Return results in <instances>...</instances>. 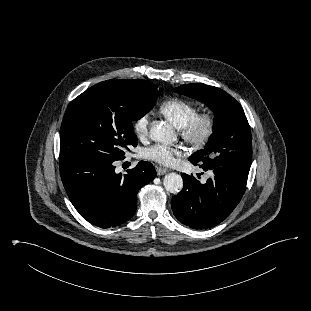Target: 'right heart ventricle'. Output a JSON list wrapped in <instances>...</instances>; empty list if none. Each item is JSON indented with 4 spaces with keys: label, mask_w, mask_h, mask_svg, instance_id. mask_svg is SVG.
I'll list each match as a JSON object with an SVG mask.
<instances>
[{
    "label": "right heart ventricle",
    "mask_w": 311,
    "mask_h": 311,
    "mask_svg": "<svg viewBox=\"0 0 311 311\" xmlns=\"http://www.w3.org/2000/svg\"><path fill=\"white\" fill-rule=\"evenodd\" d=\"M160 113L177 129H181L195 114L197 107L190 101L172 98L160 105Z\"/></svg>",
    "instance_id": "1"
}]
</instances>
